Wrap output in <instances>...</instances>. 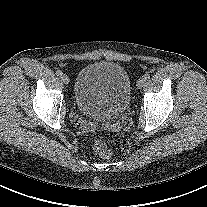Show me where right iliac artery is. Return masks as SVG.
Wrapping results in <instances>:
<instances>
[{"instance_id":"1","label":"right iliac artery","mask_w":207,"mask_h":207,"mask_svg":"<svg viewBox=\"0 0 207 207\" xmlns=\"http://www.w3.org/2000/svg\"><path fill=\"white\" fill-rule=\"evenodd\" d=\"M62 74H63L62 71H60V70H57V71H56V75H57V76H61Z\"/></svg>"}]
</instances>
